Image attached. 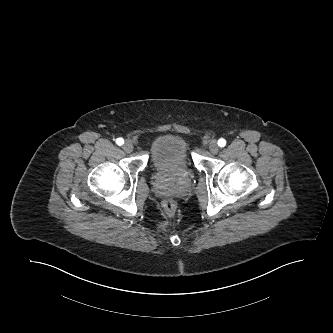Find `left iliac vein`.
I'll list each match as a JSON object with an SVG mask.
<instances>
[{
	"instance_id": "4c4485c4",
	"label": "left iliac vein",
	"mask_w": 333,
	"mask_h": 333,
	"mask_svg": "<svg viewBox=\"0 0 333 333\" xmlns=\"http://www.w3.org/2000/svg\"><path fill=\"white\" fill-rule=\"evenodd\" d=\"M209 150L212 154H217L219 151V146L216 140H212L209 144Z\"/></svg>"
}]
</instances>
